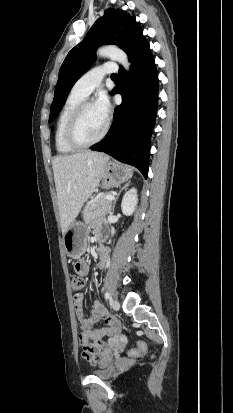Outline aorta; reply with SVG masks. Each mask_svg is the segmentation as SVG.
<instances>
[{
	"mask_svg": "<svg viewBox=\"0 0 233 413\" xmlns=\"http://www.w3.org/2000/svg\"><path fill=\"white\" fill-rule=\"evenodd\" d=\"M97 55L103 58H110L120 63L127 71L130 69V63L127 54L118 47L104 46L97 50Z\"/></svg>",
	"mask_w": 233,
	"mask_h": 413,
	"instance_id": "1",
	"label": "aorta"
}]
</instances>
